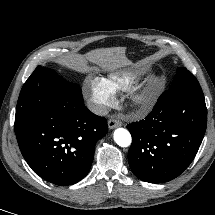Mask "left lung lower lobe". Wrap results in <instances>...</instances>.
<instances>
[{
	"instance_id": "obj_1",
	"label": "left lung lower lobe",
	"mask_w": 215,
	"mask_h": 215,
	"mask_svg": "<svg viewBox=\"0 0 215 215\" xmlns=\"http://www.w3.org/2000/svg\"><path fill=\"white\" fill-rule=\"evenodd\" d=\"M206 126L204 95L166 90L145 119L127 126L131 171L149 183L176 178L195 158Z\"/></svg>"
}]
</instances>
